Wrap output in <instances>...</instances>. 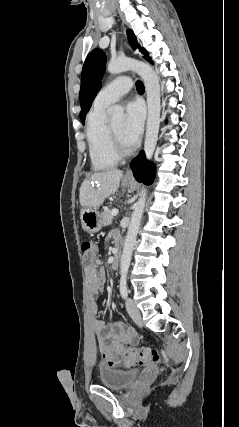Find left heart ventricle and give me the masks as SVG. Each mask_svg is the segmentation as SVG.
<instances>
[{
  "instance_id": "b2bd125f",
  "label": "left heart ventricle",
  "mask_w": 239,
  "mask_h": 427,
  "mask_svg": "<svg viewBox=\"0 0 239 427\" xmlns=\"http://www.w3.org/2000/svg\"><path fill=\"white\" fill-rule=\"evenodd\" d=\"M111 127L113 128L114 132L116 133V135L118 136L119 140L121 141V143L125 146V147H130L123 139L122 137V127H123V122L122 121H118L115 122L111 125Z\"/></svg>"
}]
</instances>
